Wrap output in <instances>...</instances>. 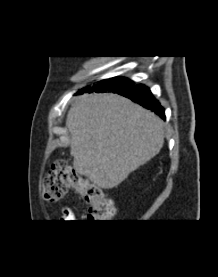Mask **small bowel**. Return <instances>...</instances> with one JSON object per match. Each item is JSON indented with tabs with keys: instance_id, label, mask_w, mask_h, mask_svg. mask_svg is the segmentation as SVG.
I'll return each instance as SVG.
<instances>
[{
	"instance_id": "c3829d8e",
	"label": "small bowel",
	"mask_w": 218,
	"mask_h": 277,
	"mask_svg": "<svg viewBox=\"0 0 218 277\" xmlns=\"http://www.w3.org/2000/svg\"><path fill=\"white\" fill-rule=\"evenodd\" d=\"M75 214L70 207H65L61 212V221L62 222H74Z\"/></svg>"
}]
</instances>
